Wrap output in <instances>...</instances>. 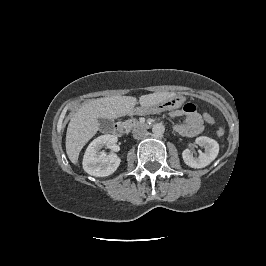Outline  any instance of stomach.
Instances as JSON below:
<instances>
[{"mask_svg":"<svg viewBox=\"0 0 266 266\" xmlns=\"http://www.w3.org/2000/svg\"><path fill=\"white\" fill-rule=\"evenodd\" d=\"M175 100L177 102H181L182 98L181 97H172L169 98L163 102H160L158 104L152 105V106H147V107H142V112L146 114L150 113H160L166 110H169L171 108V105H168V103H172V101Z\"/></svg>","mask_w":266,"mask_h":266,"instance_id":"0dacf381","label":"stomach"}]
</instances>
